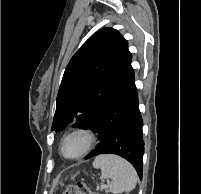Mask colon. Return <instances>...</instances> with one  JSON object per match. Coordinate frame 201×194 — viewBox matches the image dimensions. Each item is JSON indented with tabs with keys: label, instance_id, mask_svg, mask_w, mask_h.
<instances>
[{
	"label": "colon",
	"instance_id": "colon-1",
	"mask_svg": "<svg viewBox=\"0 0 201 194\" xmlns=\"http://www.w3.org/2000/svg\"><path fill=\"white\" fill-rule=\"evenodd\" d=\"M63 194H99L92 191L86 184L78 183L76 185L69 186Z\"/></svg>",
	"mask_w": 201,
	"mask_h": 194
}]
</instances>
